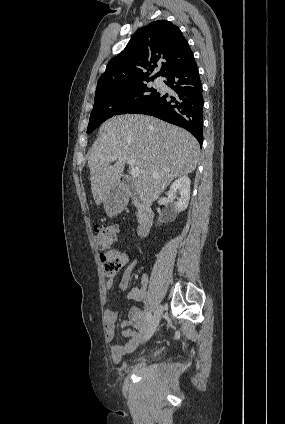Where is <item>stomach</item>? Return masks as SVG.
Here are the masks:
<instances>
[{"instance_id":"obj_1","label":"stomach","mask_w":285,"mask_h":424,"mask_svg":"<svg viewBox=\"0 0 285 424\" xmlns=\"http://www.w3.org/2000/svg\"><path fill=\"white\" fill-rule=\"evenodd\" d=\"M104 209L107 215L114 216L121 211L124 206L121 196L114 190H111L104 201Z\"/></svg>"}]
</instances>
